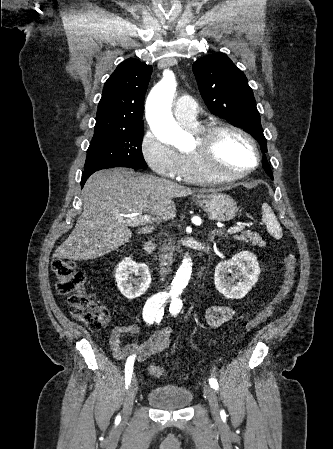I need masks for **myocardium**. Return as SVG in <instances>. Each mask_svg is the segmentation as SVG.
Wrapping results in <instances>:
<instances>
[{
	"mask_svg": "<svg viewBox=\"0 0 333 449\" xmlns=\"http://www.w3.org/2000/svg\"><path fill=\"white\" fill-rule=\"evenodd\" d=\"M225 133H235L244 138L255 153V163L243 172L230 174L217 170L213 164L216 144ZM192 153L198 159L204 173L216 182H235L252 174L260 164L261 154L254 138L245 130L230 124L209 125L198 132L197 145Z\"/></svg>",
	"mask_w": 333,
	"mask_h": 449,
	"instance_id": "f54148a6",
	"label": "myocardium"
}]
</instances>
